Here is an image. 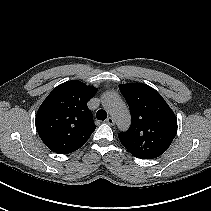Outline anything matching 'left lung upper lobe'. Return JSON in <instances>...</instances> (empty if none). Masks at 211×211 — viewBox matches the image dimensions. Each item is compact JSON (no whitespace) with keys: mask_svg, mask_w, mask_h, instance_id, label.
<instances>
[{"mask_svg":"<svg viewBox=\"0 0 211 211\" xmlns=\"http://www.w3.org/2000/svg\"><path fill=\"white\" fill-rule=\"evenodd\" d=\"M132 123L118 137L135 157L153 159L162 155L177 133V118L162 96L143 83L120 84Z\"/></svg>","mask_w":211,"mask_h":211,"instance_id":"obj_1","label":"left lung upper lobe"}]
</instances>
